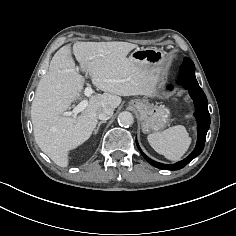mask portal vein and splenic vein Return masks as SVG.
I'll return each mask as SVG.
<instances>
[{
	"instance_id": "obj_1",
	"label": "portal vein and splenic vein",
	"mask_w": 236,
	"mask_h": 236,
	"mask_svg": "<svg viewBox=\"0 0 236 236\" xmlns=\"http://www.w3.org/2000/svg\"><path fill=\"white\" fill-rule=\"evenodd\" d=\"M92 59V58H89ZM106 81V80H104ZM93 93V89L91 88L90 85H87V87L84 90V94L87 97H90ZM88 105V101L87 100H83L81 101L72 111L66 112L65 114L68 116H73L74 120L76 119L78 113L82 112L85 110V108Z\"/></svg>"
}]
</instances>
